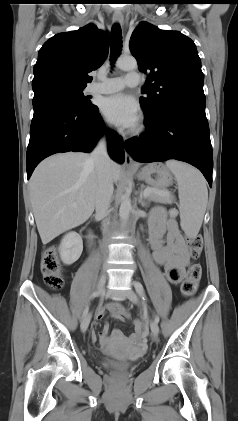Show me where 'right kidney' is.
I'll list each match as a JSON object with an SVG mask.
<instances>
[{"label":"right kidney","mask_w":238,"mask_h":421,"mask_svg":"<svg viewBox=\"0 0 238 421\" xmlns=\"http://www.w3.org/2000/svg\"><path fill=\"white\" fill-rule=\"evenodd\" d=\"M60 258L66 265H71L76 262L83 251V241L76 232L67 233L60 244Z\"/></svg>","instance_id":"right-kidney-1"}]
</instances>
